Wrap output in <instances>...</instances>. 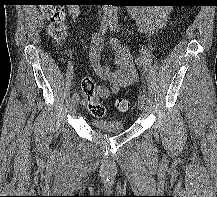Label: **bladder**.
Returning a JSON list of instances; mask_svg holds the SVG:
<instances>
[{"instance_id": "bladder-1", "label": "bladder", "mask_w": 217, "mask_h": 197, "mask_svg": "<svg viewBox=\"0 0 217 197\" xmlns=\"http://www.w3.org/2000/svg\"><path fill=\"white\" fill-rule=\"evenodd\" d=\"M92 126L103 133L106 134H116L123 132L125 127L120 119H109V120H101L96 119L92 121Z\"/></svg>"}]
</instances>
